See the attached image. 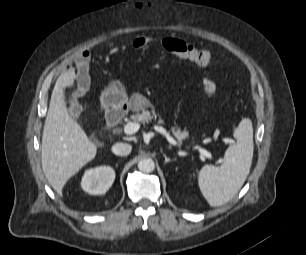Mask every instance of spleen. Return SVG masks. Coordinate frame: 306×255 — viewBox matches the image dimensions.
Here are the masks:
<instances>
[{
  "label": "spleen",
  "mask_w": 306,
  "mask_h": 255,
  "mask_svg": "<svg viewBox=\"0 0 306 255\" xmlns=\"http://www.w3.org/2000/svg\"><path fill=\"white\" fill-rule=\"evenodd\" d=\"M236 143L230 145L220 167L205 165L199 172V188L211 207L229 202L241 189L250 172L253 158V126L243 118L234 130Z\"/></svg>",
  "instance_id": "obj_1"
}]
</instances>
